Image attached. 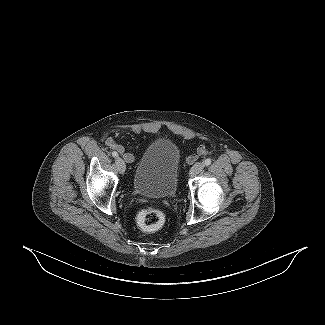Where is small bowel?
Wrapping results in <instances>:
<instances>
[{"mask_svg": "<svg viewBox=\"0 0 325 325\" xmlns=\"http://www.w3.org/2000/svg\"><path fill=\"white\" fill-rule=\"evenodd\" d=\"M106 145H107L110 149H113V150L118 151V152L122 155L123 159H124L127 163H132V162L135 160L134 155L131 154V153H129V152H126V151L124 150L123 145L120 144L119 142H117L115 139H113V138H108V139L106 140ZM204 150H205V148H204V147H201V148L199 149V151H198L197 154H198V155L202 154ZM195 159H196V155H191V156L189 157V160H190V161H194Z\"/></svg>", "mask_w": 325, "mask_h": 325, "instance_id": "1", "label": "small bowel"}]
</instances>
